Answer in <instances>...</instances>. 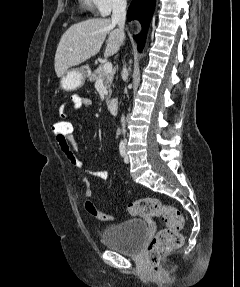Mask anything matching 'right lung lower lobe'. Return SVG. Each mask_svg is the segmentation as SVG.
<instances>
[{
	"mask_svg": "<svg viewBox=\"0 0 240 287\" xmlns=\"http://www.w3.org/2000/svg\"><path fill=\"white\" fill-rule=\"evenodd\" d=\"M155 0H132L127 12V19H137L141 22L143 30L140 34L134 36L135 41L138 43V51L141 52L145 39L147 29L154 11Z\"/></svg>",
	"mask_w": 240,
	"mask_h": 287,
	"instance_id": "98d812e1",
	"label": "right lung lower lobe"
}]
</instances>
